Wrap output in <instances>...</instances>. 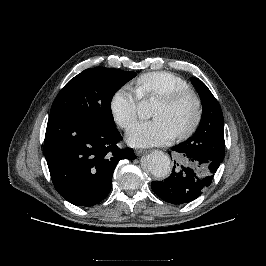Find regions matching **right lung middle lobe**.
<instances>
[{
  "label": "right lung middle lobe",
  "mask_w": 266,
  "mask_h": 266,
  "mask_svg": "<svg viewBox=\"0 0 266 266\" xmlns=\"http://www.w3.org/2000/svg\"><path fill=\"white\" fill-rule=\"evenodd\" d=\"M135 76V72L118 69H86L72 78L58 93L50 116L62 115L113 126L112 97Z\"/></svg>",
  "instance_id": "dd1d6c3e"
}]
</instances>
